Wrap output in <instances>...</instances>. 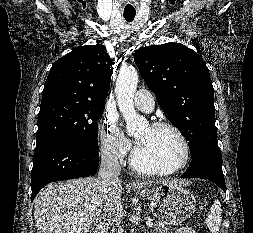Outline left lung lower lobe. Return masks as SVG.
<instances>
[{"instance_id": "obj_1", "label": "left lung lower lobe", "mask_w": 253, "mask_h": 233, "mask_svg": "<svg viewBox=\"0 0 253 233\" xmlns=\"http://www.w3.org/2000/svg\"><path fill=\"white\" fill-rule=\"evenodd\" d=\"M181 177L208 179L225 191L226 186L220 150L202 149L192 157L190 166Z\"/></svg>"}]
</instances>
